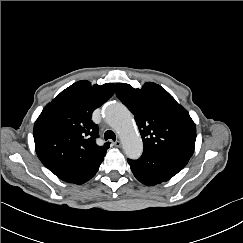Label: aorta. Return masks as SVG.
<instances>
[{"instance_id": "1", "label": "aorta", "mask_w": 243, "mask_h": 243, "mask_svg": "<svg viewBox=\"0 0 243 243\" xmlns=\"http://www.w3.org/2000/svg\"><path fill=\"white\" fill-rule=\"evenodd\" d=\"M105 118L108 124L118 132L126 156L131 159L140 157L143 143L126 106L119 102L110 103L105 109Z\"/></svg>"}]
</instances>
